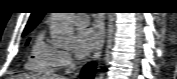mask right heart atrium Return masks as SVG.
<instances>
[{"label": "right heart atrium", "mask_w": 177, "mask_h": 79, "mask_svg": "<svg viewBox=\"0 0 177 79\" xmlns=\"http://www.w3.org/2000/svg\"><path fill=\"white\" fill-rule=\"evenodd\" d=\"M57 63H58V67L64 69L69 68L73 63L70 53L67 51L59 50Z\"/></svg>", "instance_id": "right-heart-atrium-1"}]
</instances>
